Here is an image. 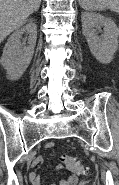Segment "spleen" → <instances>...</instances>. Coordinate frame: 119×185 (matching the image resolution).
<instances>
[{
	"label": "spleen",
	"instance_id": "3e777b00",
	"mask_svg": "<svg viewBox=\"0 0 119 185\" xmlns=\"http://www.w3.org/2000/svg\"><path fill=\"white\" fill-rule=\"evenodd\" d=\"M80 6L87 11L110 9L119 13V0H78Z\"/></svg>",
	"mask_w": 119,
	"mask_h": 185
}]
</instances>
